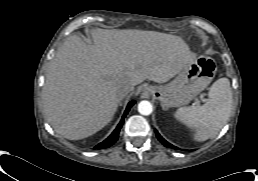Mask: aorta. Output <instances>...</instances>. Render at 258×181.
<instances>
[{"instance_id":"obj_1","label":"aorta","mask_w":258,"mask_h":181,"mask_svg":"<svg viewBox=\"0 0 258 181\" xmlns=\"http://www.w3.org/2000/svg\"><path fill=\"white\" fill-rule=\"evenodd\" d=\"M152 104L149 101L143 100L138 104V112L141 115H150L152 113Z\"/></svg>"}]
</instances>
